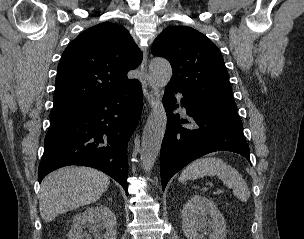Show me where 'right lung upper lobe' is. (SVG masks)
I'll return each instance as SVG.
<instances>
[{"instance_id":"right-lung-upper-lobe-1","label":"right lung upper lobe","mask_w":304,"mask_h":239,"mask_svg":"<svg viewBox=\"0 0 304 239\" xmlns=\"http://www.w3.org/2000/svg\"><path fill=\"white\" fill-rule=\"evenodd\" d=\"M142 53L123 26L103 22L82 32L63 52L50 118L83 108L136 79L129 70Z\"/></svg>"}]
</instances>
